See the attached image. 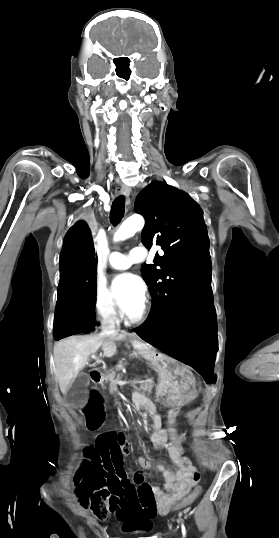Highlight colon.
Segmentation results:
<instances>
[{"label": "colon", "mask_w": 279, "mask_h": 538, "mask_svg": "<svg viewBox=\"0 0 279 538\" xmlns=\"http://www.w3.org/2000/svg\"><path fill=\"white\" fill-rule=\"evenodd\" d=\"M184 435L178 437L179 443ZM129 451L126 436L117 431L101 434L94 445L85 448L86 461L78 476V495L82 505H89L92 513L100 519L110 512L129 518L153 517L157 510L170 511L176 507L189 505L199 494L196 487L191 493L174 503L159 509L156 503L155 487L145 482L141 473L129 478L123 457ZM180 465L186 480L197 482L199 471L194 457L180 454Z\"/></svg>", "instance_id": "5ec220e1"}]
</instances>
